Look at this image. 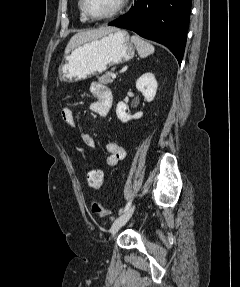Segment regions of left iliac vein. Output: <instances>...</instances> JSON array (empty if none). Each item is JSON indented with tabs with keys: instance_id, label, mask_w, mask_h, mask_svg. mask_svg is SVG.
Segmentation results:
<instances>
[{
	"instance_id": "4c4485c4",
	"label": "left iliac vein",
	"mask_w": 240,
	"mask_h": 287,
	"mask_svg": "<svg viewBox=\"0 0 240 287\" xmlns=\"http://www.w3.org/2000/svg\"><path fill=\"white\" fill-rule=\"evenodd\" d=\"M135 206L130 207L126 212L121 214L112 224L110 233L113 237L116 232L125 225L134 213Z\"/></svg>"
}]
</instances>
